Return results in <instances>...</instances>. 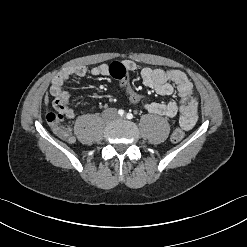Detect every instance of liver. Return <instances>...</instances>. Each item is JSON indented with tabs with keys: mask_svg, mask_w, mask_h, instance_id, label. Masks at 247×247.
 <instances>
[{
	"mask_svg": "<svg viewBox=\"0 0 247 247\" xmlns=\"http://www.w3.org/2000/svg\"><path fill=\"white\" fill-rule=\"evenodd\" d=\"M45 103L46 104L48 103V97L47 96L45 97Z\"/></svg>",
	"mask_w": 247,
	"mask_h": 247,
	"instance_id": "liver-1",
	"label": "liver"
}]
</instances>
